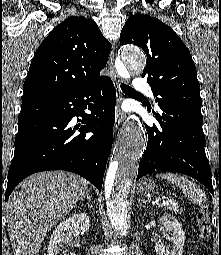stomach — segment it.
<instances>
[{"label":"stomach","instance_id":"obj_1","mask_svg":"<svg viewBox=\"0 0 221 255\" xmlns=\"http://www.w3.org/2000/svg\"><path fill=\"white\" fill-rule=\"evenodd\" d=\"M155 183L151 180H144L141 184L138 185L137 191L138 194L150 193L155 189Z\"/></svg>","mask_w":221,"mask_h":255}]
</instances>
